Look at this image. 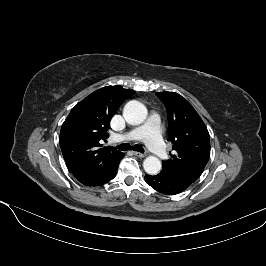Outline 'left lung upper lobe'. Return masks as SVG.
Instances as JSON below:
<instances>
[{
	"mask_svg": "<svg viewBox=\"0 0 266 266\" xmlns=\"http://www.w3.org/2000/svg\"><path fill=\"white\" fill-rule=\"evenodd\" d=\"M168 115V140L172 142L171 159L162 162V173L189 187L202 174L210 157V136L204 122L181 95L159 92Z\"/></svg>",
	"mask_w": 266,
	"mask_h": 266,
	"instance_id": "left-lung-upper-lobe-1",
	"label": "left lung upper lobe"
}]
</instances>
